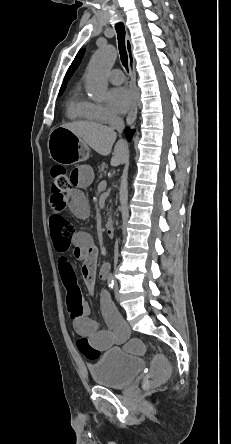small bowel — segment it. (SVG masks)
Here are the masks:
<instances>
[{"mask_svg": "<svg viewBox=\"0 0 231 444\" xmlns=\"http://www.w3.org/2000/svg\"><path fill=\"white\" fill-rule=\"evenodd\" d=\"M68 179L70 183L68 195L50 198L49 230L53 245L59 255L58 269L67 292V306L73 327L76 333L86 337L94 348L103 351L125 342L130 330L105 293L102 295V305L109 327L99 329L98 323L90 317L89 305L81 296L76 274L67 258V252L72 248L73 257L82 262V275L91 293L94 291L98 252L91 236L83 231H75L64 218L63 213L68 208L77 217H88L90 207L81 189L93 182L94 172L91 166L81 164L70 172ZM103 271L106 272L107 267H104Z\"/></svg>", "mask_w": 231, "mask_h": 444, "instance_id": "obj_1", "label": "small bowel"}]
</instances>
